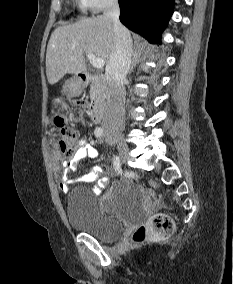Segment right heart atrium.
I'll return each mask as SVG.
<instances>
[{"label": "right heart atrium", "instance_id": "obj_1", "mask_svg": "<svg viewBox=\"0 0 233 284\" xmlns=\"http://www.w3.org/2000/svg\"><path fill=\"white\" fill-rule=\"evenodd\" d=\"M83 4L94 12H99L105 7L113 4L116 0H81Z\"/></svg>", "mask_w": 233, "mask_h": 284}]
</instances>
